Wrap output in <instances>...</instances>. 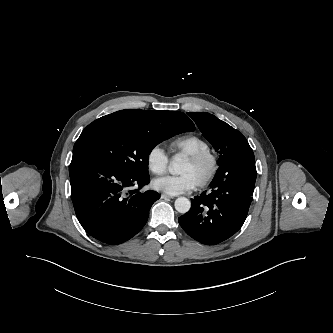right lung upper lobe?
Returning <instances> with one entry per match:
<instances>
[{
	"mask_svg": "<svg viewBox=\"0 0 333 333\" xmlns=\"http://www.w3.org/2000/svg\"><path fill=\"white\" fill-rule=\"evenodd\" d=\"M96 121L127 123L147 130L177 129L193 131L195 126L186 114L177 111H147L126 109L103 116Z\"/></svg>",
	"mask_w": 333,
	"mask_h": 333,
	"instance_id": "obj_1",
	"label": "right lung upper lobe"
}]
</instances>
